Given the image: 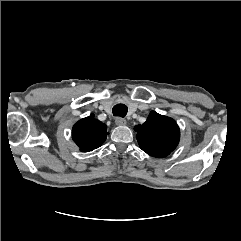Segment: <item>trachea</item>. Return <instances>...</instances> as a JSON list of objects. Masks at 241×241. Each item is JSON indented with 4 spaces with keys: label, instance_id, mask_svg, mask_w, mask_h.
Masks as SVG:
<instances>
[{
    "label": "trachea",
    "instance_id": "1",
    "mask_svg": "<svg viewBox=\"0 0 241 241\" xmlns=\"http://www.w3.org/2000/svg\"><path fill=\"white\" fill-rule=\"evenodd\" d=\"M127 111H128L127 106L122 103L116 104L112 109L113 115L119 116V117H125L127 114Z\"/></svg>",
    "mask_w": 241,
    "mask_h": 241
}]
</instances>
